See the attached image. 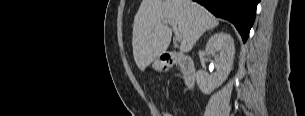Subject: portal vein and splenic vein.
Instances as JSON below:
<instances>
[{"mask_svg":"<svg viewBox=\"0 0 305 116\" xmlns=\"http://www.w3.org/2000/svg\"><path fill=\"white\" fill-rule=\"evenodd\" d=\"M164 24H169V25H171L172 26V28H173V30H174V32H175V39L177 40V41H180L181 39H182V36H181V34L179 33V31H178V28H177V24L174 22V21H164L163 22Z\"/></svg>","mask_w":305,"mask_h":116,"instance_id":"portal-vein-and-splenic-vein-1","label":"portal vein and splenic vein"}]
</instances>
